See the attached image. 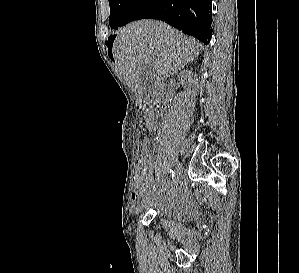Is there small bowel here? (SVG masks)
Instances as JSON below:
<instances>
[{
    "mask_svg": "<svg viewBox=\"0 0 299 273\" xmlns=\"http://www.w3.org/2000/svg\"><path fill=\"white\" fill-rule=\"evenodd\" d=\"M146 127L149 131H155L158 126L157 115L153 109H148L145 117ZM152 151L143 150L142 158L139 161V170L134 179L132 199L138 200L143 194L148 193L153 187L154 177L157 175L155 166L151 163ZM180 198V192L174 190L169 200Z\"/></svg>",
    "mask_w": 299,
    "mask_h": 273,
    "instance_id": "1",
    "label": "small bowel"
}]
</instances>
